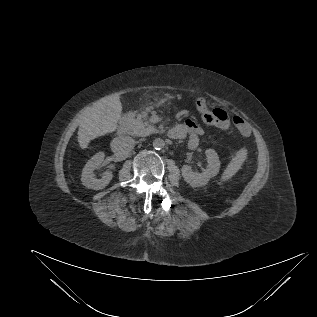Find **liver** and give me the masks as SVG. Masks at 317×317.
Returning a JSON list of instances; mask_svg holds the SVG:
<instances>
[{"label":"liver","mask_w":317,"mask_h":317,"mask_svg":"<svg viewBox=\"0 0 317 317\" xmlns=\"http://www.w3.org/2000/svg\"><path fill=\"white\" fill-rule=\"evenodd\" d=\"M122 103L118 94L108 95L83 110L78 130V142L86 149L91 140L116 130Z\"/></svg>","instance_id":"liver-1"}]
</instances>
